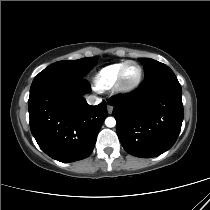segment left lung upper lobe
I'll return each mask as SVG.
<instances>
[{
  "label": "left lung upper lobe",
  "instance_id": "obj_1",
  "mask_svg": "<svg viewBox=\"0 0 210 210\" xmlns=\"http://www.w3.org/2000/svg\"><path fill=\"white\" fill-rule=\"evenodd\" d=\"M139 61L144 65L145 78H148L154 73L168 68V66L165 64L150 58H139Z\"/></svg>",
  "mask_w": 210,
  "mask_h": 210
}]
</instances>
